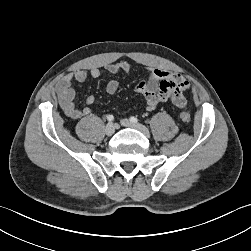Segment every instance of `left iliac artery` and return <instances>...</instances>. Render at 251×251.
Instances as JSON below:
<instances>
[{
    "label": "left iliac artery",
    "instance_id": "44dca946",
    "mask_svg": "<svg viewBox=\"0 0 251 251\" xmlns=\"http://www.w3.org/2000/svg\"><path fill=\"white\" fill-rule=\"evenodd\" d=\"M130 121L133 123H137L138 119L136 117L132 116V117H130Z\"/></svg>",
    "mask_w": 251,
    "mask_h": 251
}]
</instances>
